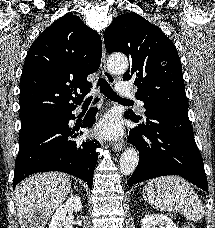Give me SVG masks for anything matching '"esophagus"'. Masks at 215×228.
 I'll use <instances>...</instances> for the list:
<instances>
[{
    "instance_id": "obj_1",
    "label": "esophagus",
    "mask_w": 215,
    "mask_h": 228,
    "mask_svg": "<svg viewBox=\"0 0 215 228\" xmlns=\"http://www.w3.org/2000/svg\"><path fill=\"white\" fill-rule=\"evenodd\" d=\"M106 61H107V53H106V49L104 46V42L102 41L101 70H102L105 80H107V82L110 83L111 85H114L116 83V79H115L114 75L107 69ZM124 148H125L124 140L116 142L113 145V150L117 151V152L123 150Z\"/></svg>"
}]
</instances>
